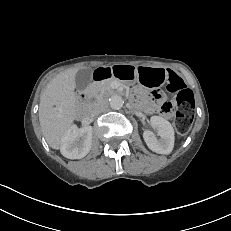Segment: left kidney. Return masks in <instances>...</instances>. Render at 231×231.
Wrapping results in <instances>:
<instances>
[{
    "label": "left kidney",
    "mask_w": 231,
    "mask_h": 231,
    "mask_svg": "<svg viewBox=\"0 0 231 231\" xmlns=\"http://www.w3.org/2000/svg\"><path fill=\"white\" fill-rule=\"evenodd\" d=\"M150 125L153 128L158 129L157 139L155 134L151 131H144L143 138L150 150L159 154H169L174 147V128L169 121L160 117L152 116L150 118Z\"/></svg>",
    "instance_id": "left-kidney-1"
}]
</instances>
